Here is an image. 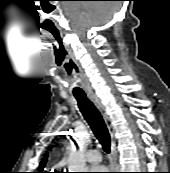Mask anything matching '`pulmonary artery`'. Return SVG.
Here are the masks:
<instances>
[{
    "instance_id": "e3ab8cb5",
    "label": "pulmonary artery",
    "mask_w": 170,
    "mask_h": 173,
    "mask_svg": "<svg viewBox=\"0 0 170 173\" xmlns=\"http://www.w3.org/2000/svg\"><path fill=\"white\" fill-rule=\"evenodd\" d=\"M87 162L97 164L101 161V154L97 149H90L85 153Z\"/></svg>"
}]
</instances>
